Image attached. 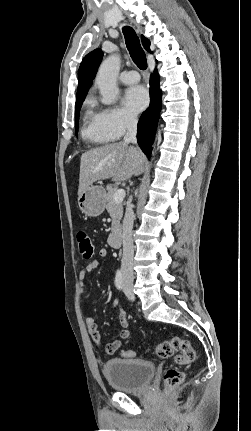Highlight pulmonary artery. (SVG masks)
I'll return each instance as SVG.
<instances>
[{"label":"pulmonary artery","mask_w":251,"mask_h":431,"mask_svg":"<svg viewBox=\"0 0 251 431\" xmlns=\"http://www.w3.org/2000/svg\"><path fill=\"white\" fill-rule=\"evenodd\" d=\"M140 80V76L136 71H128L123 74L121 81L124 84H135Z\"/></svg>","instance_id":"obj_1"}]
</instances>
